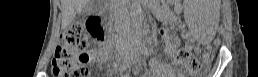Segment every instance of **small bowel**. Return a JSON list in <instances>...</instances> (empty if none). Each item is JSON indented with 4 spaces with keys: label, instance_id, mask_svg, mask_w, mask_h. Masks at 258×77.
I'll list each match as a JSON object with an SVG mask.
<instances>
[{
    "label": "small bowel",
    "instance_id": "small-bowel-1",
    "mask_svg": "<svg viewBox=\"0 0 258 77\" xmlns=\"http://www.w3.org/2000/svg\"><path fill=\"white\" fill-rule=\"evenodd\" d=\"M90 58L97 62H104L109 58L108 52L105 49L97 48L90 52ZM167 73H172L168 71Z\"/></svg>",
    "mask_w": 258,
    "mask_h": 77
}]
</instances>
